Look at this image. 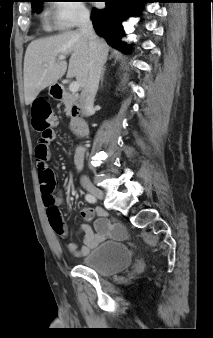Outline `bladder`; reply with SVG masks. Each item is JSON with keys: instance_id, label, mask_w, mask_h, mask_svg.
Here are the masks:
<instances>
[{"instance_id": "obj_1", "label": "bladder", "mask_w": 213, "mask_h": 338, "mask_svg": "<svg viewBox=\"0 0 213 338\" xmlns=\"http://www.w3.org/2000/svg\"><path fill=\"white\" fill-rule=\"evenodd\" d=\"M132 264L130 250L123 242H102L82 260V265L101 277L121 273Z\"/></svg>"}]
</instances>
